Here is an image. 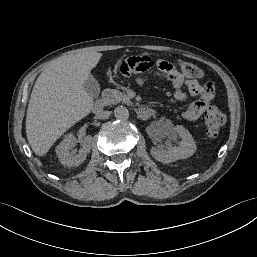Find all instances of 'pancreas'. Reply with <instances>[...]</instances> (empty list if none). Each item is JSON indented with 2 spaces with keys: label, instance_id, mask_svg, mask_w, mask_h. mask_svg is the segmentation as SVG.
I'll return each mask as SVG.
<instances>
[{
  "label": "pancreas",
  "instance_id": "obj_1",
  "mask_svg": "<svg viewBox=\"0 0 257 257\" xmlns=\"http://www.w3.org/2000/svg\"><path fill=\"white\" fill-rule=\"evenodd\" d=\"M105 105H112L117 103H129L130 100L123 92L116 89H105L102 96Z\"/></svg>",
  "mask_w": 257,
  "mask_h": 257
}]
</instances>
